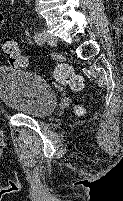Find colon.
<instances>
[{"label":"colon","instance_id":"obj_1","mask_svg":"<svg viewBox=\"0 0 123 201\" xmlns=\"http://www.w3.org/2000/svg\"><path fill=\"white\" fill-rule=\"evenodd\" d=\"M2 50L8 62L17 68H25L28 66L27 57L20 51L17 43L13 39H5L2 43ZM55 79L62 84H67L73 89H81L83 87V79L77 75L74 70L67 64H60L54 71ZM78 113H82V108H77Z\"/></svg>","mask_w":123,"mask_h":201}]
</instances>
